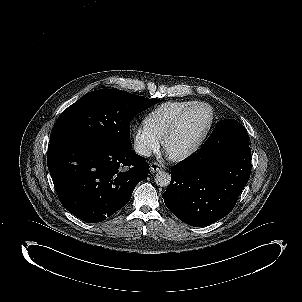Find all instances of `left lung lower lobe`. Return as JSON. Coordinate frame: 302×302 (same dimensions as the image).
<instances>
[{"mask_svg":"<svg viewBox=\"0 0 302 302\" xmlns=\"http://www.w3.org/2000/svg\"><path fill=\"white\" fill-rule=\"evenodd\" d=\"M251 149L222 153L200 148L190 159L171 169V183L163 193L166 207L195 227L225 217L250 177Z\"/></svg>","mask_w":302,"mask_h":302,"instance_id":"left-lung-lower-lobe-1","label":"left lung lower lobe"}]
</instances>
